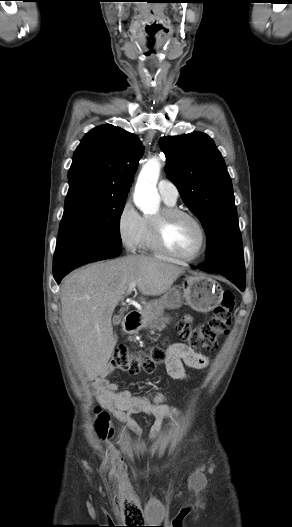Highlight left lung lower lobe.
<instances>
[{"instance_id": "0a47b994", "label": "left lung lower lobe", "mask_w": 292, "mask_h": 527, "mask_svg": "<svg viewBox=\"0 0 292 527\" xmlns=\"http://www.w3.org/2000/svg\"><path fill=\"white\" fill-rule=\"evenodd\" d=\"M196 268V267H192ZM197 268L219 273L235 284L241 291L245 290V267L243 256H223L199 265Z\"/></svg>"}]
</instances>
